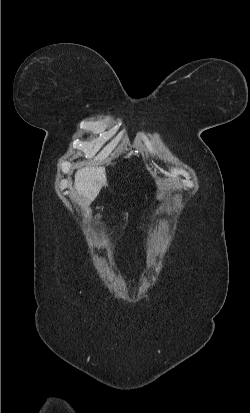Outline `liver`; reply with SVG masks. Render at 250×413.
<instances>
[{
  "label": "liver",
  "instance_id": "liver-1",
  "mask_svg": "<svg viewBox=\"0 0 250 413\" xmlns=\"http://www.w3.org/2000/svg\"><path fill=\"white\" fill-rule=\"evenodd\" d=\"M106 184L104 167H84L75 174V189L82 197V206H89Z\"/></svg>",
  "mask_w": 250,
  "mask_h": 413
}]
</instances>
